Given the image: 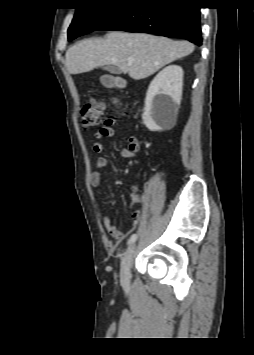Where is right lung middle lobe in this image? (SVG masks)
Wrapping results in <instances>:
<instances>
[{
	"instance_id": "right-lung-middle-lobe-1",
	"label": "right lung middle lobe",
	"mask_w": 254,
	"mask_h": 355,
	"mask_svg": "<svg viewBox=\"0 0 254 355\" xmlns=\"http://www.w3.org/2000/svg\"><path fill=\"white\" fill-rule=\"evenodd\" d=\"M123 2L116 0H94L76 8L68 29V40L97 30L109 17L121 8Z\"/></svg>"
}]
</instances>
